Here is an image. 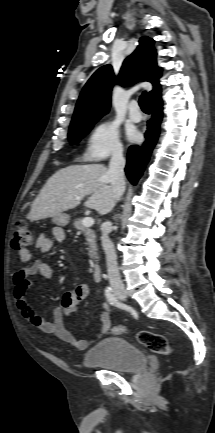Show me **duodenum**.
<instances>
[{
    "label": "duodenum",
    "mask_w": 215,
    "mask_h": 433,
    "mask_svg": "<svg viewBox=\"0 0 215 433\" xmlns=\"http://www.w3.org/2000/svg\"><path fill=\"white\" fill-rule=\"evenodd\" d=\"M92 275H93L94 280L101 281L102 271H101V266L99 264L95 263L92 266Z\"/></svg>",
    "instance_id": "duodenum-1"
}]
</instances>
